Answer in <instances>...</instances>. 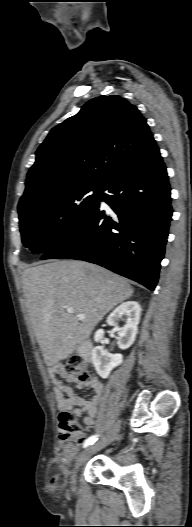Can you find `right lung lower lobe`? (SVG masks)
Masks as SVG:
<instances>
[{
	"label": "right lung lower lobe",
	"instance_id": "98d812e1",
	"mask_svg": "<svg viewBox=\"0 0 192 527\" xmlns=\"http://www.w3.org/2000/svg\"><path fill=\"white\" fill-rule=\"evenodd\" d=\"M170 190L166 167L153 139L103 185L99 201L85 221L41 259L95 263L153 291L173 212ZM101 201L112 211H105Z\"/></svg>",
	"mask_w": 192,
	"mask_h": 527
}]
</instances>
